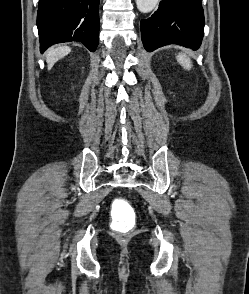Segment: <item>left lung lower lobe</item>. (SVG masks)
Masks as SVG:
<instances>
[{"label":"left lung lower lobe","instance_id":"1","mask_svg":"<svg viewBox=\"0 0 249 294\" xmlns=\"http://www.w3.org/2000/svg\"><path fill=\"white\" fill-rule=\"evenodd\" d=\"M141 34L148 52L171 43L198 49L204 34L201 0H162L150 18L141 20Z\"/></svg>","mask_w":249,"mask_h":294}]
</instances>
